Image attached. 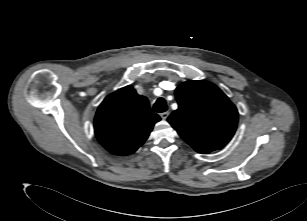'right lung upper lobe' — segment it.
Segmentation results:
<instances>
[{"instance_id": "1", "label": "right lung upper lobe", "mask_w": 307, "mask_h": 221, "mask_svg": "<svg viewBox=\"0 0 307 221\" xmlns=\"http://www.w3.org/2000/svg\"><path fill=\"white\" fill-rule=\"evenodd\" d=\"M160 117L152 112L146 97L126 86L108 95L98 107L94 128L98 141L109 152L134 153L148 138Z\"/></svg>"}]
</instances>
